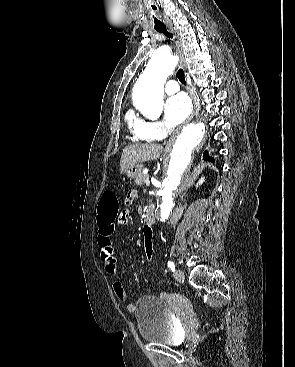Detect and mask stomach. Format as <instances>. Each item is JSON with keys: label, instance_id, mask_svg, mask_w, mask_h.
Masks as SVG:
<instances>
[{"label": "stomach", "instance_id": "0dacf381", "mask_svg": "<svg viewBox=\"0 0 295 367\" xmlns=\"http://www.w3.org/2000/svg\"><path fill=\"white\" fill-rule=\"evenodd\" d=\"M141 171H142V165L135 164L126 169L125 173L129 178L135 179L141 174Z\"/></svg>", "mask_w": 295, "mask_h": 367}]
</instances>
